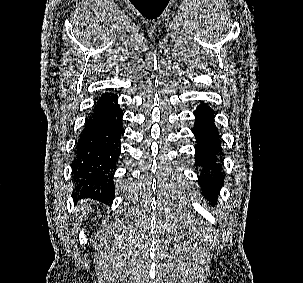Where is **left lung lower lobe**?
Segmentation results:
<instances>
[{"label": "left lung lower lobe", "mask_w": 303, "mask_h": 283, "mask_svg": "<svg viewBox=\"0 0 303 283\" xmlns=\"http://www.w3.org/2000/svg\"><path fill=\"white\" fill-rule=\"evenodd\" d=\"M196 123L192 129L196 139V165L202 166L209 174L200 177L201 189L208 199H217L223 176L218 172L221 165L217 163V155L221 152V143L216 126L214 111L202 104L195 111Z\"/></svg>", "instance_id": "left-lung-lower-lobe-1"}]
</instances>
